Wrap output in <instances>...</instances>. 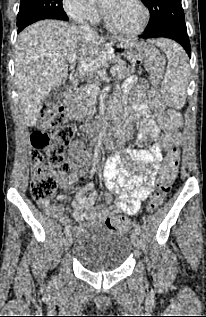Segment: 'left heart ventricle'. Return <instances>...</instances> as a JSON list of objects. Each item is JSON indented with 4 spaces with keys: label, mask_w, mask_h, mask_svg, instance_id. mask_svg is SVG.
<instances>
[{
    "label": "left heart ventricle",
    "mask_w": 206,
    "mask_h": 317,
    "mask_svg": "<svg viewBox=\"0 0 206 317\" xmlns=\"http://www.w3.org/2000/svg\"><path fill=\"white\" fill-rule=\"evenodd\" d=\"M109 21L122 30H134L142 21V11L133 0H101Z\"/></svg>",
    "instance_id": "obj_1"
}]
</instances>
